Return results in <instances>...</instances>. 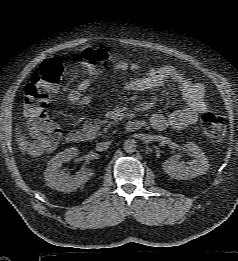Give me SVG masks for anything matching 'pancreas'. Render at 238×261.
<instances>
[{
	"label": "pancreas",
	"instance_id": "1",
	"mask_svg": "<svg viewBox=\"0 0 238 261\" xmlns=\"http://www.w3.org/2000/svg\"><path fill=\"white\" fill-rule=\"evenodd\" d=\"M113 124L114 122H108L107 120L102 121L100 119H95L93 122L86 121L83 124V131L86 133L89 139H94L96 136L102 135L103 132L106 133L108 128ZM102 125H105L103 130H101Z\"/></svg>",
	"mask_w": 238,
	"mask_h": 261
}]
</instances>
